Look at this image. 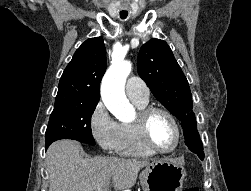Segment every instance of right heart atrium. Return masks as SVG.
<instances>
[{"label":"right heart atrium","mask_w":251,"mask_h":191,"mask_svg":"<svg viewBox=\"0 0 251 191\" xmlns=\"http://www.w3.org/2000/svg\"><path fill=\"white\" fill-rule=\"evenodd\" d=\"M94 142L105 152L117 151L121 140L120 124L114 119L103 101H98L88 119Z\"/></svg>","instance_id":"1"}]
</instances>
